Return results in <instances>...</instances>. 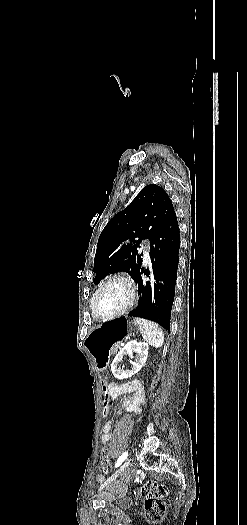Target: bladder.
Instances as JSON below:
<instances>
[{"instance_id":"1","label":"bladder","mask_w":247,"mask_h":525,"mask_svg":"<svg viewBox=\"0 0 247 525\" xmlns=\"http://www.w3.org/2000/svg\"><path fill=\"white\" fill-rule=\"evenodd\" d=\"M115 504V505H119V506H124V507H128V506H131L133 504V499L127 495H123L121 496L120 498H113V499H110L108 504Z\"/></svg>"}]
</instances>
